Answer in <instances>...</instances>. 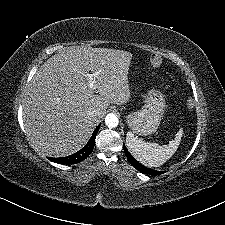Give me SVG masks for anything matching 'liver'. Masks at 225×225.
<instances>
[{
	"label": "liver",
	"instance_id": "liver-1",
	"mask_svg": "<svg viewBox=\"0 0 225 225\" xmlns=\"http://www.w3.org/2000/svg\"><path fill=\"white\" fill-rule=\"evenodd\" d=\"M132 53L108 48L70 47L49 58L36 72L23 104L27 135L35 150L51 157L81 149L110 103L130 99ZM95 74L96 95L88 72ZM98 112L96 118L89 113Z\"/></svg>",
	"mask_w": 225,
	"mask_h": 225
}]
</instances>
